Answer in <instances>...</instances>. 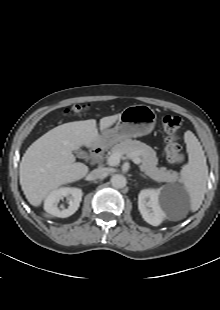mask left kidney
<instances>
[{"label":"left kidney","mask_w":220,"mask_h":310,"mask_svg":"<svg viewBox=\"0 0 220 310\" xmlns=\"http://www.w3.org/2000/svg\"><path fill=\"white\" fill-rule=\"evenodd\" d=\"M169 200L165 198L160 189H144L138 196V208L143 219L153 225L158 226L166 216Z\"/></svg>","instance_id":"left-kidney-1"}]
</instances>
